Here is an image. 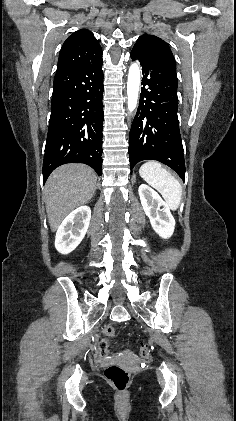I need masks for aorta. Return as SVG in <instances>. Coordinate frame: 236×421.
<instances>
[{"label": "aorta", "mask_w": 236, "mask_h": 421, "mask_svg": "<svg viewBox=\"0 0 236 421\" xmlns=\"http://www.w3.org/2000/svg\"><path fill=\"white\" fill-rule=\"evenodd\" d=\"M141 82V72L138 62H132L128 70L127 80V106L130 112H133L137 106Z\"/></svg>", "instance_id": "obj_1"}]
</instances>
